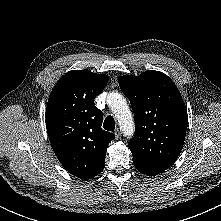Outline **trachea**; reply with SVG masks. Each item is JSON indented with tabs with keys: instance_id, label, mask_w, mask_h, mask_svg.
<instances>
[{
	"instance_id": "obj_1",
	"label": "trachea",
	"mask_w": 221,
	"mask_h": 221,
	"mask_svg": "<svg viewBox=\"0 0 221 221\" xmlns=\"http://www.w3.org/2000/svg\"><path fill=\"white\" fill-rule=\"evenodd\" d=\"M103 128L107 131H113L115 129V121L113 116L109 115L105 118Z\"/></svg>"
}]
</instances>
